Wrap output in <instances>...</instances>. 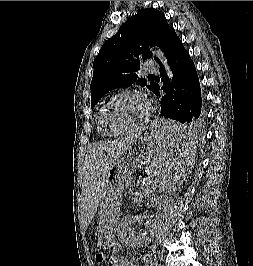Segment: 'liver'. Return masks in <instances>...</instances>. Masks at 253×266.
I'll list each match as a JSON object with an SVG mask.
<instances>
[{"mask_svg": "<svg viewBox=\"0 0 253 266\" xmlns=\"http://www.w3.org/2000/svg\"><path fill=\"white\" fill-rule=\"evenodd\" d=\"M137 137L130 136L103 143L89 150L84 163V202L86 203V221L88 226L94 218L97 208L106 192V179L113 162L121 156Z\"/></svg>", "mask_w": 253, "mask_h": 266, "instance_id": "obj_1", "label": "liver"}]
</instances>
